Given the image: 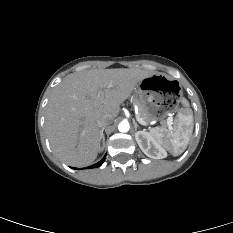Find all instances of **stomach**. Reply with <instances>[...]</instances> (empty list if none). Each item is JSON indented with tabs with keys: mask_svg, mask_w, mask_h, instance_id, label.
I'll return each mask as SVG.
<instances>
[{
	"mask_svg": "<svg viewBox=\"0 0 233 233\" xmlns=\"http://www.w3.org/2000/svg\"><path fill=\"white\" fill-rule=\"evenodd\" d=\"M181 85L172 76L150 74L136 87V94L145 107L150 120L170 116L180 98Z\"/></svg>",
	"mask_w": 233,
	"mask_h": 233,
	"instance_id": "stomach-1",
	"label": "stomach"
}]
</instances>
